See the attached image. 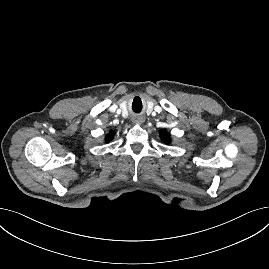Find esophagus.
I'll return each instance as SVG.
<instances>
[{"mask_svg": "<svg viewBox=\"0 0 269 269\" xmlns=\"http://www.w3.org/2000/svg\"><path fill=\"white\" fill-rule=\"evenodd\" d=\"M144 121V118L142 117H136L133 119V122L136 124H141Z\"/></svg>", "mask_w": 269, "mask_h": 269, "instance_id": "obj_1", "label": "esophagus"}]
</instances>
